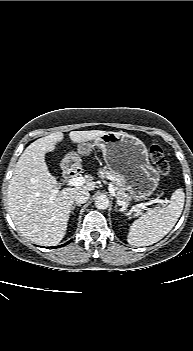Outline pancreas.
<instances>
[{"label": "pancreas", "instance_id": "obj_1", "mask_svg": "<svg viewBox=\"0 0 193 351\" xmlns=\"http://www.w3.org/2000/svg\"><path fill=\"white\" fill-rule=\"evenodd\" d=\"M99 176L109 178L115 186L116 198L129 205L133 197L127 192L125 181L121 175L102 169L99 171Z\"/></svg>", "mask_w": 193, "mask_h": 351}]
</instances>
